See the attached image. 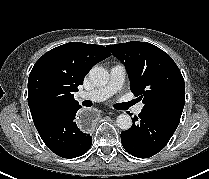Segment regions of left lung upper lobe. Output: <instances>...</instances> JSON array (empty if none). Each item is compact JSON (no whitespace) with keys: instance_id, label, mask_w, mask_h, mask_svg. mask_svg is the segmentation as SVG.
Here are the masks:
<instances>
[{"instance_id":"obj_1","label":"left lung upper lobe","mask_w":209,"mask_h":179,"mask_svg":"<svg viewBox=\"0 0 209 179\" xmlns=\"http://www.w3.org/2000/svg\"><path fill=\"white\" fill-rule=\"evenodd\" d=\"M127 70L131 91L144 103L143 110L181 113L185 83L172 58L147 42L108 45Z\"/></svg>"}]
</instances>
